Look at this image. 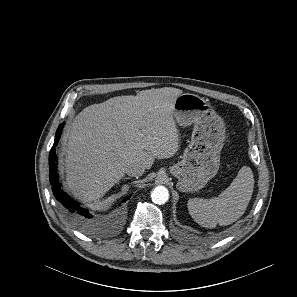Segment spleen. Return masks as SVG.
<instances>
[{
  "mask_svg": "<svg viewBox=\"0 0 297 297\" xmlns=\"http://www.w3.org/2000/svg\"><path fill=\"white\" fill-rule=\"evenodd\" d=\"M254 182L251 168L243 166L230 186L218 197L189 199L188 210L191 217L205 228L235 222L244 214L251 200Z\"/></svg>",
  "mask_w": 297,
  "mask_h": 297,
  "instance_id": "spleen-1",
  "label": "spleen"
}]
</instances>
